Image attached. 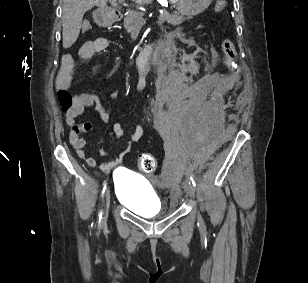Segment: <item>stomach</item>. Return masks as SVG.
<instances>
[{
  "label": "stomach",
  "mask_w": 308,
  "mask_h": 283,
  "mask_svg": "<svg viewBox=\"0 0 308 283\" xmlns=\"http://www.w3.org/2000/svg\"><path fill=\"white\" fill-rule=\"evenodd\" d=\"M176 5L181 15L193 16L203 12L212 2V0H169ZM107 19L101 15V23L105 24Z\"/></svg>",
  "instance_id": "0dacf381"
}]
</instances>
